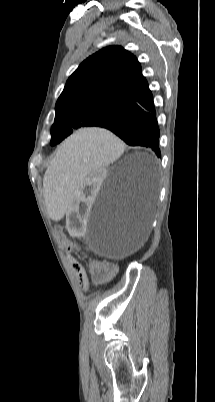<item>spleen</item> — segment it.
<instances>
[{"label":"spleen","instance_id":"1","mask_svg":"<svg viewBox=\"0 0 215 402\" xmlns=\"http://www.w3.org/2000/svg\"><path fill=\"white\" fill-rule=\"evenodd\" d=\"M123 149L110 128H76V133L60 143L55 159L45 176L48 191L46 213L59 220L75 193L98 169L114 161Z\"/></svg>","mask_w":215,"mask_h":402}]
</instances>
